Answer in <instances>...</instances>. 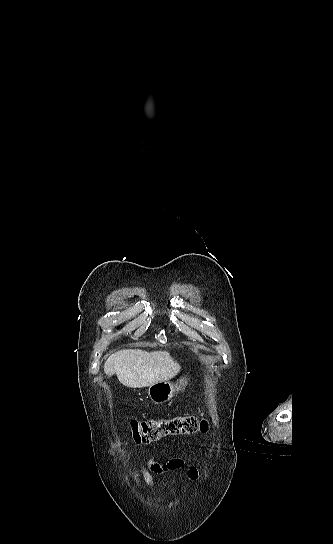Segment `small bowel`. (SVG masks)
I'll return each instance as SVG.
<instances>
[{"label": "small bowel", "instance_id": "c3829d8e", "mask_svg": "<svg viewBox=\"0 0 333 544\" xmlns=\"http://www.w3.org/2000/svg\"><path fill=\"white\" fill-rule=\"evenodd\" d=\"M186 463L182 458H172L166 463L157 462L155 459L150 458L145 466L141 467L140 471H135L133 473V480L137 486L140 485L141 478L147 483V485L153 491H156V487L153 481V474H162L170 470H177L185 466ZM187 476L191 480H196L198 478L197 469L193 466H188Z\"/></svg>", "mask_w": 333, "mask_h": 544}]
</instances>
